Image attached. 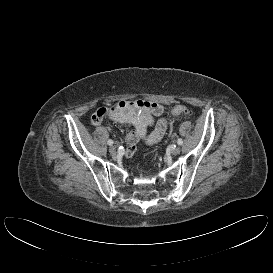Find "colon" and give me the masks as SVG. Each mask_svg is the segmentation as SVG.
<instances>
[{
  "instance_id": "5ec220e1",
  "label": "colon",
  "mask_w": 273,
  "mask_h": 273,
  "mask_svg": "<svg viewBox=\"0 0 273 273\" xmlns=\"http://www.w3.org/2000/svg\"><path fill=\"white\" fill-rule=\"evenodd\" d=\"M171 114L174 116H190L192 111L184 105H175L171 108Z\"/></svg>"
}]
</instances>
